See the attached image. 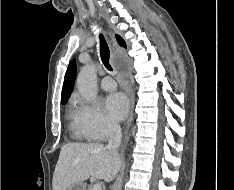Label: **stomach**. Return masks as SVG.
<instances>
[{"mask_svg":"<svg viewBox=\"0 0 234 190\" xmlns=\"http://www.w3.org/2000/svg\"><path fill=\"white\" fill-rule=\"evenodd\" d=\"M67 190H86V185L83 182L73 183Z\"/></svg>","mask_w":234,"mask_h":190,"instance_id":"1","label":"stomach"}]
</instances>
